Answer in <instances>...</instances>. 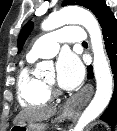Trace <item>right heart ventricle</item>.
I'll return each mask as SVG.
<instances>
[{
    "mask_svg": "<svg viewBox=\"0 0 117 131\" xmlns=\"http://www.w3.org/2000/svg\"><path fill=\"white\" fill-rule=\"evenodd\" d=\"M27 60L28 65L20 70L17 78L18 100L27 108L45 106L50 100V91L45 82L32 73L30 64L34 60Z\"/></svg>",
    "mask_w": 117,
    "mask_h": 131,
    "instance_id": "obj_1",
    "label": "right heart ventricle"
}]
</instances>
